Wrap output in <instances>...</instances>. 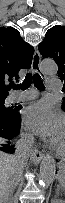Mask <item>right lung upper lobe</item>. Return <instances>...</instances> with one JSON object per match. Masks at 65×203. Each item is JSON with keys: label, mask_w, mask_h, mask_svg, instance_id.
<instances>
[{"label": "right lung upper lobe", "mask_w": 65, "mask_h": 203, "mask_svg": "<svg viewBox=\"0 0 65 203\" xmlns=\"http://www.w3.org/2000/svg\"><path fill=\"white\" fill-rule=\"evenodd\" d=\"M33 54L34 48L21 38L18 30L0 27V97L8 96L19 70L30 68Z\"/></svg>", "instance_id": "cb5924a9"}]
</instances>
